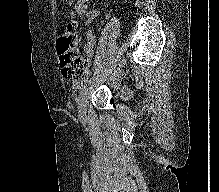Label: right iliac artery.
<instances>
[{
  "mask_svg": "<svg viewBox=\"0 0 219 192\" xmlns=\"http://www.w3.org/2000/svg\"><path fill=\"white\" fill-rule=\"evenodd\" d=\"M88 80V74L86 77H84L80 82H76L74 83V88L76 89H80L81 87H83L85 85V83L87 82Z\"/></svg>",
  "mask_w": 219,
  "mask_h": 192,
  "instance_id": "1",
  "label": "right iliac artery"
}]
</instances>
